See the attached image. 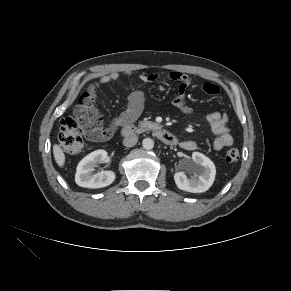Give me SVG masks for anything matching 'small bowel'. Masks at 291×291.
<instances>
[{"label": "small bowel", "instance_id": "c3829d8e", "mask_svg": "<svg viewBox=\"0 0 291 291\" xmlns=\"http://www.w3.org/2000/svg\"><path fill=\"white\" fill-rule=\"evenodd\" d=\"M123 76L127 78H134L133 72H125ZM121 78V74L114 72L111 74L101 76L96 82L91 84L90 92L96 94V92L103 86L112 82H115ZM138 78L145 83H151L159 78L156 73L141 74ZM169 78L179 83L177 93L173 99V105L182 113L190 114L193 112V108L188 106L185 102L186 91L192 84V79L180 72H172L169 74ZM205 93L209 95H217L220 92L218 85L212 82H207L202 86ZM144 93L141 90H133L128 96L127 108L120 115H118L113 123L115 125L123 126L125 124H131L141 115L144 107ZM91 117L93 120V128L87 135L90 139L95 141H102L108 139L112 133L108 126H104L101 123V118L96 109H92ZM206 120L216 135L213 141V148L220 151L233 144V137L230 134L228 128V117L225 113L212 112L206 116ZM181 148L187 151H193L197 148V143L192 140H185L180 143Z\"/></svg>", "mask_w": 291, "mask_h": 291}]
</instances>
